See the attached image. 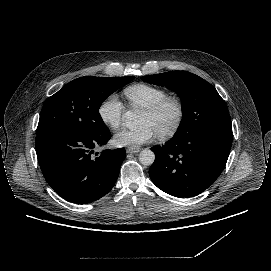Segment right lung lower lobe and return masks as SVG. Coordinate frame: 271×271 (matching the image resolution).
Instances as JSON below:
<instances>
[{
  "instance_id": "right-lung-lower-lobe-1",
  "label": "right lung lower lobe",
  "mask_w": 271,
  "mask_h": 271,
  "mask_svg": "<svg viewBox=\"0 0 271 271\" xmlns=\"http://www.w3.org/2000/svg\"><path fill=\"white\" fill-rule=\"evenodd\" d=\"M111 138L108 128L87 134L51 129L36 136V153L47 183L67 201L85 204L106 195L115 185L126 156L123 148L93 149ZM96 153L95 155H97Z\"/></svg>"
}]
</instances>
